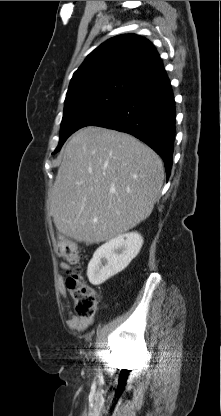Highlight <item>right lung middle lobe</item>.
<instances>
[{"instance_id": "1", "label": "right lung middle lobe", "mask_w": 221, "mask_h": 416, "mask_svg": "<svg viewBox=\"0 0 221 416\" xmlns=\"http://www.w3.org/2000/svg\"><path fill=\"white\" fill-rule=\"evenodd\" d=\"M129 93L127 90H99L65 102L58 152L66 139L78 129L103 120ZM53 153V154H54Z\"/></svg>"}]
</instances>
